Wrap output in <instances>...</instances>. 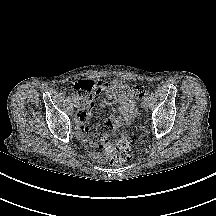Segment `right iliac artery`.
<instances>
[{
  "label": "right iliac artery",
  "instance_id": "82829eb1",
  "mask_svg": "<svg viewBox=\"0 0 216 216\" xmlns=\"http://www.w3.org/2000/svg\"><path fill=\"white\" fill-rule=\"evenodd\" d=\"M72 99H73V100H77L78 98H77L76 95H72Z\"/></svg>",
  "mask_w": 216,
  "mask_h": 216
}]
</instances>
